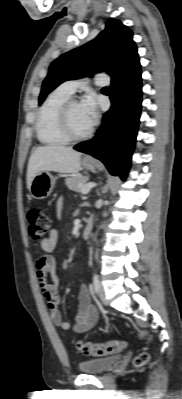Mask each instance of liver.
<instances>
[{"mask_svg": "<svg viewBox=\"0 0 182 399\" xmlns=\"http://www.w3.org/2000/svg\"><path fill=\"white\" fill-rule=\"evenodd\" d=\"M81 153L70 147L41 146L30 156L27 168V188L30 189L33 178L44 171L76 174L81 168Z\"/></svg>", "mask_w": 182, "mask_h": 399, "instance_id": "obj_1", "label": "liver"}]
</instances>
